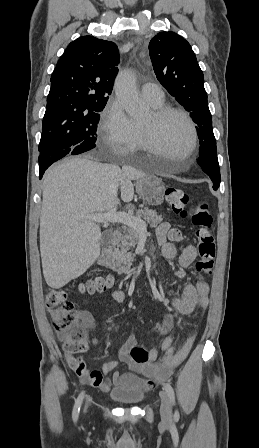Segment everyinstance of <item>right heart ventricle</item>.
Returning a JSON list of instances; mask_svg holds the SVG:
<instances>
[{
    "mask_svg": "<svg viewBox=\"0 0 259 448\" xmlns=\"http://www.w3.org/2000/svg\"><path fill=\"white\" fill-rule=\"evenodd\" d=\"M152 108H159V107H161V106H163V101H161V102H156V103H152V102H148V101H146ZM134 124V126H135V128H136V131H137V135H138V142H137V148H136V151L135 152H138V151H140V150H145V145H144V142H143V138H142V135H141V130H140V123H133ZM135 160V155H133L130 159H129V161H131V162H133Z\"/></svg>",
    "mask_w": 259,
    "mask_h": 448,
    "instance_id": "right-heart-ventricle-1",
    "label": "right heart ventricle"
}]
</instances>
